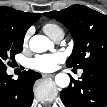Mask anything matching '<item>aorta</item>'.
Masks as SVG:
<instances>
[{"instance_id": "762f6f07", "label": "aorta", "mask_w": 107, "mask_h": 107, "mask_svg": "<svg viewBox=\"0 0 107 107\" xmlns=\"http://www.w3.org/2000/svg\"><path fill=\"white\" fill-rule=\"evenodd\" d=\"M53 47V42L46 36L35 35L29 41V48L36 53H42ZM55 83L58 87L66 88L69 86L70 77L66 73H59L55 76Z\"/></svg>"}]
</instances>
